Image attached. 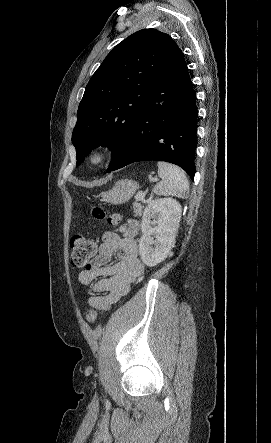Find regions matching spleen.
Instances as JSON below:
<instances>
[{"label": "spleen", "instance_id": "3e777b00", "mask_svg": "<svg viewBox=\"0 0 271 443\" xmlns=\"http://www.w3.org/2000/svg\"><path fill=\"white\" fill-rule=\"evenodd\" d=\"M158 176L161 182L154 186L156 196H177V198H188L189 184L185 172L172 166L167 162H158Z\"/></svg>", "mask_w": 271, "mask_h": 443}]
</instances>
